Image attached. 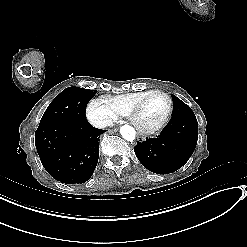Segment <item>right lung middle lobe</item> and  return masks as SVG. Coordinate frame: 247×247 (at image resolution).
<instances>
[{
    "mask_svg": "<svg viewBox=\"0 0 247 247\" xmlns=\"http://www.w3.org/2000/svg\"><path fill=\"white\" fill-rule=\"evenodd\" d=\"M95 94L96 90L79 87H68L64 89L50 103L41 118L40 124L55 120L86 119V106Z\"/></svg>",
    "mask_w": 247,
    "mask_h": 247,
    "instance_id": "right-lung-middle-lobe-1",
    "label": "right lung middle lobe"
}]
</instances>
